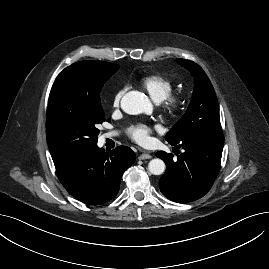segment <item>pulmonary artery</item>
Returning <instances> with one entry per match:
<instances>
[{
  "mask_svg": "<svg viewBox=\"0 0 269 269\" xmlns=\"http://www.w3.org/2000/svg\"><path fill=\"white\" fill-rule=\"evenodd\" d=\"M116 135V133H114V132H109V133H107L106 135H105V137L106 138H111V137H113V136H115Z\"/></svg>",
  "mask_w": 269,
  "mask_h": 269,
  "instance_id": "obj_1",
  "label": "pulmonary artery"
}]
</instances>
